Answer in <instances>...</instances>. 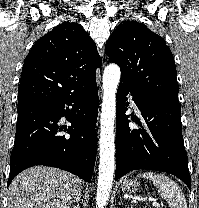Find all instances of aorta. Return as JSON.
Returning <instances> with one entry per match:
<instances>
[{
	"label": "aorta",
	"mask_w": 199,
	"mask_h": 208,
	"mask_svg": "<svg viewBox=\"0 0 199 208\" xmlns=\"http://www.w3.org/2000/svg\"><path fill=\"white\" fill-rule=\"evenodd\" d=\"M120 77L121 72L118 65L109 64L104 69L96 208H104L106 206L113 184L115 171L114 122L116 115V91Z\"/></svg>",
	"instance_id": "762f6f07"
}]
</instances>
